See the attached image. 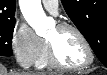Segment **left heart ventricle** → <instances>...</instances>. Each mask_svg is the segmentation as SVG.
Instances as JSON below:
<instances>
[{
    "mask_svg": "<svg viewBox=\"0 0 107 75\" xmlns=\"http://www.w3.org/2000/svg\"><path fill=\"white\" fill-rule=\"evenodd\" d=\"M50 41L60 61L69 66L81 65L87 60V52L79 37L71 30H58L56 27L49 33Z\"/></svg>",
    "mask_w": 107,
    "mask_h": 75,
    "instance_id": "1",
    "label": "left heart ventricle"
}]
</instances>
